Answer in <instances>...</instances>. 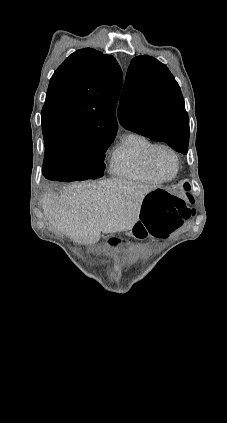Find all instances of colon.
Wrapping results in <instances>:
<instances>
[{
    "mask_svg": "<svg viewBox=\"0 0 227 423\" xmlns=\"http://www.w3.org/2000/svg\"><path fill=\"white\" fill-rule=\"evenodd\" d=\"M190 201L189 194L183 199L167 189H153L143 200L140 220L152 235L165 237L193 214Z\"/></svg>",
    "mask_w": 227,
    "mask_h": 423,
    "instance_id": "1",
    "label": "colon"
}]
</instances>
